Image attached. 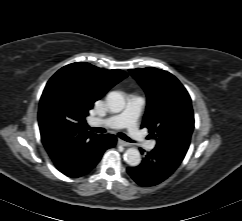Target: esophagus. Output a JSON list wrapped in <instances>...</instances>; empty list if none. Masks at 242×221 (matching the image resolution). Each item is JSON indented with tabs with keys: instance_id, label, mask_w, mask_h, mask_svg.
<instances>
[{
	"instance_id": "34e87169",
	"label": "esophagus",
	"mask_w": 242,
	"mask_h": 221,
	"mask_svg": "<svg viewBox=\"0 0 242 221\" xmlns=\"http://www.w3.org/2000/svg\"><path fill=\"white\" fill-rule=\"evenodd\" d=\"M118 143L122 146H125V147H128L130 146V143L124 141V140H121V139H118Z\"/></svg>"
}]
</instances>
